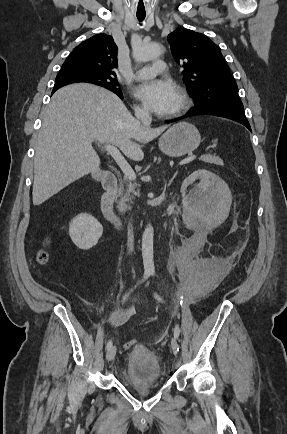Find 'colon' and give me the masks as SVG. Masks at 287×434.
<instances>
[{"mask_svg":"<svg viewBox=\"0 0 287 434\" xmlns=\"http://www.w3.org/2000/svg\"><path fill=\"white\" fill-rule=\"evenodd\" d=\"M37 262L40 265H44L47 261H48V253L44 250L41 249L36 256ZM136 345V340H130L128 342L125 343L124 347L126 349H131Z\"/></svg>","mask_w":287,"mask_h":434,"instance_id":"1","label":"colon"}]
</instances>
